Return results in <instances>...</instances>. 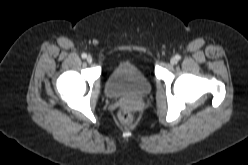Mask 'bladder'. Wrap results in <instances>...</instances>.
<instances>
[{
	"instance_id": "31cf9c89",
	"label": "bladder",
	"mask_w": 248,
	"mask_h": 165,
	"mask_svg": "<svg viewBox=\"0 0 248 165\" xmlns=\"http://www.w3.org/2000/svg\"><path fill=\"white\" fill-rule=\"evenodd\" d=\"M151 89L149 78L130 61L118 62L105 81V92L112 99H143L149 96Z\"/></svg>"
}]
</instances>
